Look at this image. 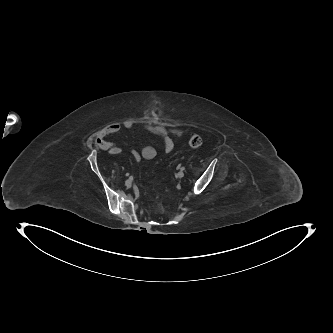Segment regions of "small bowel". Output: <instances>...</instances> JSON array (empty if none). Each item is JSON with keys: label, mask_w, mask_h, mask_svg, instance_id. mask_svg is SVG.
Returning a JSON list of instances; mask_svg holds the SVG:
<instances>
[{"label": "small bowel", "mask_w": 333, "mask_h": 333, "mask_svg": "<svg viewBox=\"0 0 333 333\" xmlns=\"http://www.w3.org/2000/svg\"><path fill=\"white\" fill-rule=\"evenodd\" d=\"M139 126L145 132L158 137L163 143L164 150L168 153L172 152L174 149V143L171 139V135H175L177 137L182 136V131L177 128L149 123H141ZM122 128L131 131L135 128V123L132 121H126L122 124L114 123L108 125L103 130L98 132L95 138V146L100 150L108 151L110 155H118L120 153V149L114 143L108 141L107 138L120 132ZM131 154L135 161L140 162L141 159H153L157 152L152 145H145L141 148V150L132 149Z\"/></svg>", "instance_id": "1"}]
</instances>
